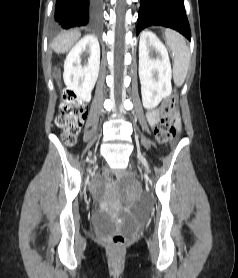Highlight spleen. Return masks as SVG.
Returning <instances> with one entry per match:
<instances>
[{
	"label": "spleen",
	"mask_w": 238,
	"mask_h": 278,
	"mask_svg": "<svg viewBox=\"0 0 238 278\" xmlns=\"http://www.w3.org/2000/svg\"><path fill=\"white\" fill-rule=\"evenodd\" d=\"M164 35L166 44L169 47L174 60V82L177 86H181L184 83L189 68V48L186 45L184 37L178 32L166 29Z\"/></svg>",
	"instance_id": "spleen-1"
}]
</instances>
